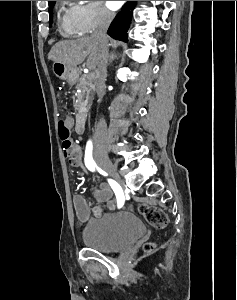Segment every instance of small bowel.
Returning a JSON list of instances; mask_svg holds the SVG:
<instances>
[{
    "mask_svg": "<svg viewBox=\"0 0 237 300\" xmlns=\"http://www.w3.org/2000/svg\"><path fill=\"white\" fill-rule=\"evenodd\" d=\"M65 125L72 129L74 126V120L71 116H66L64 119ZM64 155L67 158L68 164L72 168H81L85 174L86 168L84 165L85 155L80 145H76L69 151H64ZM92 194L97 204L90 210L85 198L77 194L73 198V205L76 212V217L79 222L84 223L88 220L91 212L95 216H100L105 210H114L116 207L114 192L106 182H101L98 187L92 189Z\"/></svg>",
    "mask_w": 237,
    "mask_h": 300,
    "instance_id": "obj_1",
    "label": "small bowel"
}]
</instances>
